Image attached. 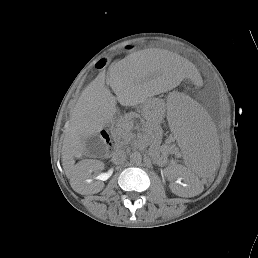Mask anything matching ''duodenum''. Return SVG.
<instances>
[{"mask_svg":"<svg viewBox=\"0 0 258 258\" xmlns=\"http://www.w3.org/2000/svg\"><path fill=\"white\" fill-rule=\"evenodd\" d=\"M103 134L106 135V137H107V142H108V140H109V135L106 134L105 132H103Z\"/></svg>","mask_w":258,"mask_h":258,"instance_id":"1","label":"duodenum"}]
</instances>
